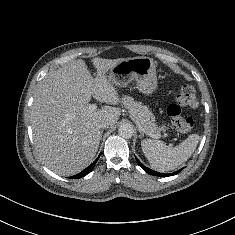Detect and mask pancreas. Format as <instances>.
Instances as JSON below:
<instances>
[{"mask_svg": "<svg viewBox=\"0 0 235 235\" xmlns=\"http://www.w3.org/2000/svg\"><path fill=\"white\" fill-rule=\"evenodd\" d=\"M123 106L128 109L131 119L145 132L157 134L163 128H159L155 123V117L147 106L141 102H136L132 97L122 98Z\"/></svg>", "mask_w": 235, "mask_h": 235, "instance_id": "obj_1", "label": "pancreas"}]
</instances>
